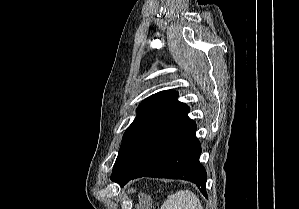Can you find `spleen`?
I'll use <instances>...</instances> for the list:
<instances>
[{
    "label": "spleen",
    "instance_id": "spleen-1",
    "mask_svg": "<svg viewBox=\"0 0 299 209\" xmlns=\"http://www.w3.org/2000/svg\"><path fill=\"white\" fill-rule=\"evenodd\" d=\"M161 209H203L196 194L189 190H179L169 195Z\"/></svg>",
    "mask_w": 299,
    "mask_h": 209
}]
</instances>
